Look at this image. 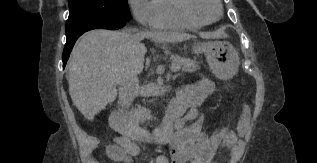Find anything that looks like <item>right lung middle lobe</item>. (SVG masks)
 <instances>
[{
  "instance_id": "1",
  "label": "right lung middle lobe",
  "mask_w": 317,
  "mask_h": 163,
  "mask_svg": "<svg viewBox=\"0 0 317 163\" xmlns=\"http://www.w3.org/2000/svg\"><path fill=\"white\" fill-rule=\"evenodd\" d=\"M130 19L127 0H69L66 35L98 21Z\"/></svg>"
}]
</instances>
